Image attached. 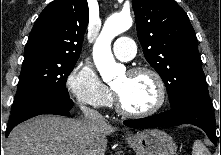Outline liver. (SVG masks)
Here are the masks:
<instances>
[{
	"instance_id": "liver-1",
	"label": "liver",
	"mask_w": 221,
	"mask_h": 155,
	"mask_svg": "<svg viewBox=\"0 0 221 155\" xmlns=\"http://www.w3.org/2000/svg\"><path fill=\"white\" fill-rule=\"evenodd\" d=\"M117 129L105 121L41 115L16 126L4 143V155H104L106 136Z\"/></svg>"
}]
</instances>
